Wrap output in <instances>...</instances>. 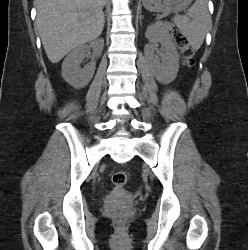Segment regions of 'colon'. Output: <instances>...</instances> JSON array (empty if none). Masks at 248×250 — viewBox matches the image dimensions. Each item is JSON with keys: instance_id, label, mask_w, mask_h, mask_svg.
I'll return each instance as SVG.
<instances>
[{"instance_id": "1", "label": "colon", "mask_w": 248, "mask_h": 250, "mask_svg": "<svg viewBox=\"0 0 248 250\" xmlns=\"http://www.w3.org/2000/svg\"><path fill=\"white\" fill-rule=\"evenodd\" d=\"M176 46L181 52L184 63L187 66L194 64V50L190 46L188 39L179 31L174 30L172 33ZM129 182V174L125 170H119L113 173L112 183L115 186L122 187Z\"/></svg>"}]
</instances>
